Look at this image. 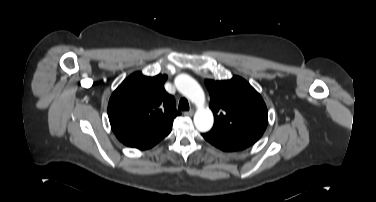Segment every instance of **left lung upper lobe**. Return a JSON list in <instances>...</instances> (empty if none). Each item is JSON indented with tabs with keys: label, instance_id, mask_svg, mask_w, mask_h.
<instances>
[{
	"label": "left lung upper lobe",
	"instance_id": "1",
	"mask_svg": "<svg viewBox=\"0 0 376 202\" xmlns=\"http://www.w3.org/2000/svg\"><path fill=\"white\" fill-rule=\"evenodd\" d=\"M213 129L256 142L268 124V111L261 95L243 78L206 80Z\"/></svg>",
	"mask_w": 376,
	"mask_h": 202
}]
</instances>
